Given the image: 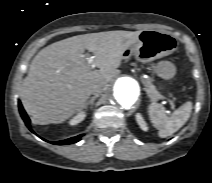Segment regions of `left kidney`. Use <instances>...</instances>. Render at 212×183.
<instances>
[{
  "instance_id": "obj_1",
  "label": "left kidney",
  "mask_w": 212,
  "mask_h": 183,
  "mask_svg": "<svg viewBox=\"0 0 212 183\" xmlns=\"http://www.w3.org/2000/svg\"><path fill=\"white\" fill-rule=\"evenodd\" d=\"M136 121L143 131L148 130L147 123L145 122L144 118L142 117V115L140 113L136 114Z\"/></svg>"
}]
</instances>
